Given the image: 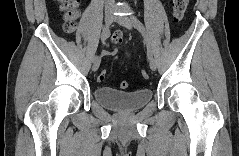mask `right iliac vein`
<instances>
[{
  "instance_id": "1",
  "label": "right iliac vein",
  "mask_w": 239,
  "mask_h": 156,
  "mask_svg": "<svg viewBox=\"0 0 239 156\" xmlns=\"http://www.w3.org/2000/svg\"><path fill=\"white\" fill-rule=\"evenodd\" d=\"M112 22H113V9L109 8L105 12V25H106V27L109 28L110 25L112 24ZM99 66H100V58L93 61L92 70L97 71Z\"/></svg>"
}]
</instances>
